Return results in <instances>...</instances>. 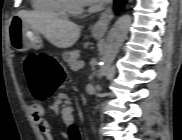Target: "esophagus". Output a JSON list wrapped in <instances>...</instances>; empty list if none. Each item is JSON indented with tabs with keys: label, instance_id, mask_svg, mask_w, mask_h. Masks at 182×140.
<instances>
[{
	"label": "esophagus",
	"instance_id": "1",
	"mask_svg": "<svg viewBox=\"0 0 182 140\" xmlns=\"http://www.w3.org/2000/svg\"><path fill=\"white\" fill-rule=\"evenodd\" d=\"M114 17L113 4H110L100 15L98 21L94 24L92 32L96 35H104Z\"/></svg>",
	"mask_w": 182,
	"mask_h": 140
}]
</instances>
